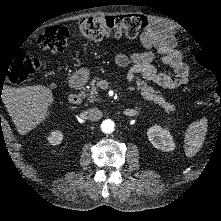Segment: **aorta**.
<instances>
[{
  "label": "aorta",
  "instance_id": "obj_1",
  "mask_svg": "<svg viewBox=\"0 0 221 221\" xmlns=\"http://www.w3.org/2000/svg\"><path fill=\"white\" fill-rule=\"evenodd\" d=\"M102 131L106 134H111L115 130V123L111 119H106L101 124Z\"/></svg>",
  "mask_w": 221,
  "mask_h": 221
}]
</instances>
